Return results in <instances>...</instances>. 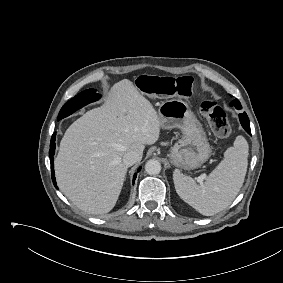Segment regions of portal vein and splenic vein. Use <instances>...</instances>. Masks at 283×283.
Listing matches in <instances>:
<instances>
[{"mask_svg":"<svg viewBox=\"0 0 283 283\" xmlns=\"http://www.w3.org/2000/svg\"><path fill=\"white\" fill-rule=\"evenodd\" d=\"M200 181H202V177H199Z\"/></svg>","mask_w":283,"mask_h":283,"instance_id":"obj_1","label":"portal vein and splenic vein"}]
</instances>
